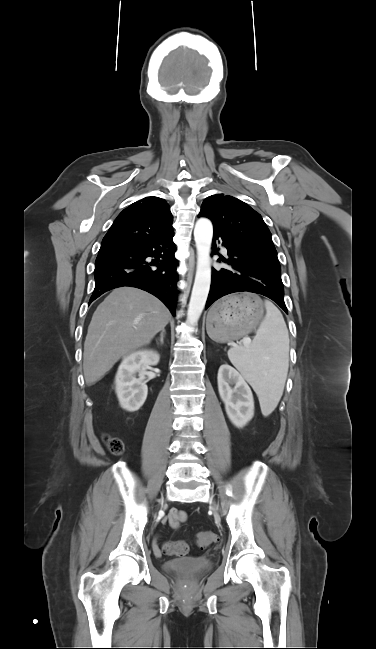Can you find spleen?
<instances>
[{"label":"spleen","instance_id":"obj_1","mask_svg":"<svg viewBox=\"0 0 376 649\" xmlns=\"http://www.w3.org/2000/svg\"><path fill=\"white\" fill-rule=\"evenodd\" d=\"M266 316L250 345L232 347L231 363L258 395L262 414L269 415L283 394L289 367V335L279 309L265 300Z\"/></svg>","mask_w":376,"mask_h":649}]
</instances>
